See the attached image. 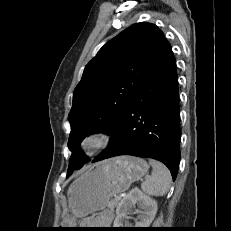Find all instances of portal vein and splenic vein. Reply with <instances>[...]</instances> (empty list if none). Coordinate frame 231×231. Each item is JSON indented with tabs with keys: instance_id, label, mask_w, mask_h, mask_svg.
I'll return each instance as SVG.
<instances>
[{
	"instance_id": "portal-vein-and-splenic-vein-1",
	"label": "portal vein and splenic vein",
	"mask_w": 231,
	"mask_h": 231,
	"mask_svg": "<svg viewBox=\"0 0 231 231\" xmlns=\"http://www.w3.org/2000/svg\"><path fill=\"white\" fill-rule=\"evenodd\" d=\"M125 194H118V195H115V198L117 199H120L121 197H123Z\"/></svg>"
}]
</instances>
